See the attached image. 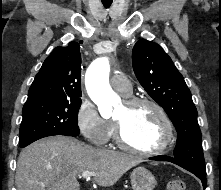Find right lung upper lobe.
Instances as JSON below:
<instances>
[{"label": "right lung upper lobe", "mask_w": 221, "mask_h": 190, "mask_svg": "<svg viewBox=\"0 0 221 190\" xmlns=\"http://www.w3.org/2000/svg\"><path fill=\"white\" fill-rule=\"evenodd\" d=\"M80 45L56 47L44 61L28 92L25 105L47 101L81 100Z\"/></svg>", "instance_id": "1"}]
</instances>
